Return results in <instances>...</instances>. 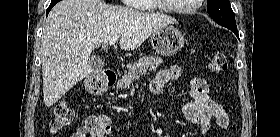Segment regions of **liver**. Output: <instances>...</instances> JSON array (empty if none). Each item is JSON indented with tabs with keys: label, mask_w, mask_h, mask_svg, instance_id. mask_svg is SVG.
I'll return each mask as SVG.
<instances>
[{
	"label": "liver",
	"mask_w": 280,
	"mask_h": 137,
	"mask_svg": "<svg viewBox=\"0 0 280 137\" xmlns=\"http://www.w3.org/2000/svg\"><path fill=\"white\" fill-rule=\"evenodd\" d=\"M175 23L162 13H144L108 5L103 0H62L50 11L42 35L43 95L46 106L55 104L93 69L95 48L106 49L114 36L127 55L155 31Z\"/></svg>",
	"instance_id": "obj_1"
}]
</instances>
